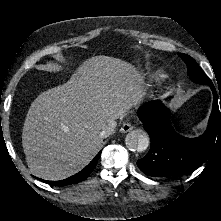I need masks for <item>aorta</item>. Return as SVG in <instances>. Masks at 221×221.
I'll list each match as a JSON object with an SVG mask.
<instances>
[{
	"mask_svg": "<svg viewBox=\"0 0 221 221\" xmlns=\"http://www.w3.org/2000/svg\"><path fill=\"white\" fill-rule=\"evenodd\" d=\"M125 143L128 149L142 152L148 148L150 138L144 130H133L126 135Z\"/></svg>",
	"mask_w": 221,
	"mask_h": 221,
	"instance_id": "obj_1",
	"label": "aorta"
}]
</instances>
